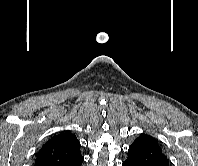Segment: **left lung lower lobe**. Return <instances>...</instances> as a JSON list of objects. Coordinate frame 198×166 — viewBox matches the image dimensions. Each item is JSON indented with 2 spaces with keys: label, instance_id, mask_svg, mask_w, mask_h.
I'll use <instances>...</instances> for the list:
<instances>
[{
  "label": "left lung lower lobe",
  "instance_id": "obj_1",
  "mask_svg": "<svg viewBox=\"0 0 198 166\" xmlns=\"http://www.w3.org/2000/svg\"><path fill=\"white\" fill-rule=\"evenodd\" d=\"M122 166H142V165H141V164H138V163L134 162L133 160L127 158V159L122 163Z\"/></svg>",
  "mask_w": 198,
  "mask_h": 166
}]
</instances>
